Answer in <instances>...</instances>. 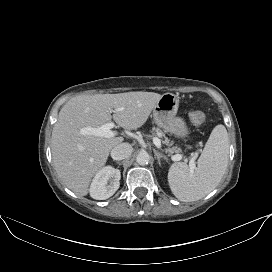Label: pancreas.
Segmentation results:
<instances>
[{"mask_svg":"<svg viewBox=\"0 0 272 272\" xmlns=\"http://www.w3.org/2000/svg\"><path fill=\"white\" fill-rule=\"evenodd\" d=\"M153 131L158 137L164 138L163 144L168 146V148H166V152L172 155L174 153H179L181 151V149L177 146L171 147L172 144L170 143V140L165 136L164 132L161 131L159 128L153 129Z\"/></svg>","mask_w":272,"mask_h":272,"instance_id":"1","label":"pancreas"}]
</instances>
